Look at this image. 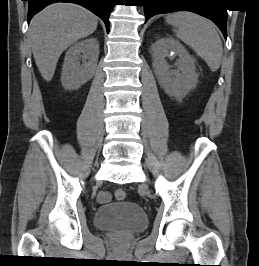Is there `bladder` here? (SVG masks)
I'll list each match as a JSON object with an SVG mask.
<instances>
[{"label":"bladder","mask_w":259,"mask_h":266,"mask_svg":"<svg viewBox=\"0 0 259 266\" xmlns=\"http://www.w3.org/2000/svg\"><path fill=\"white\" fill-rule=\"evenodd\" d=\"M97 228L120 232H139L146 228L148 218L143 208L135 202L103 205L94 215Z\"/></svg>","instance_id":"bladder-1"}]
</instances>
